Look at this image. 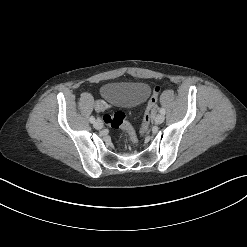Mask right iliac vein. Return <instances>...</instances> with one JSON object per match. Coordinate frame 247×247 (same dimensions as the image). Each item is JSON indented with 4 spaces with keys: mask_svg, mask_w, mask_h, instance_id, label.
<instances>
[{
    "mask_svg": "<svg viewBox=\"0 0 247 247\" xmlns=\"http://www.w3.org/2000/svg\"><path fill=\"white\" fill-rule=\"evenodd\" d=\"M94 127H95L96 129H101V128H103V123H102V121H101L100 119L96 120V121L94 122Z\"/></svg>",
    "mask_w": 247,
    "mask_h": 247,
    "instance_id": "right-iliac-vein-1",
    "label": "right iliac vein"
}]
</instances>
